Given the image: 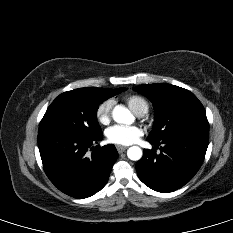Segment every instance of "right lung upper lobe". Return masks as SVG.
Segmentation results:
<instances>
[{"mask_svg":"<svg viewBox=\"0 0 233 233\" xmlns=\"http://www.w3.org/2000/svg\"><path fill=\"white\" fill-rule=\"evenodd\" d=\"M80 89H82L83 91L92 93V94L104 95V96H110V97H112V96L118 94V92L121 89H123V88H119V89H106V88H90V87H87V88H80Z\"/></svg>","mask_w":233,"mask_h":233,"instance_id":"1","label":"right lung upper lobe"}]
</instances>
